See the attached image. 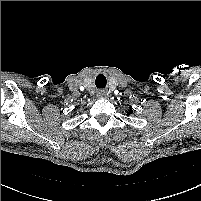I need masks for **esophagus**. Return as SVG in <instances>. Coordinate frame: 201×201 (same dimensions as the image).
Here are the masks:
<instances>
[{"label":"esophagus","instance_id":"obj_1","mask_svg":"<svg viewBox=\"0 0 201 201\" xmlns=\"http://www.w3.org/2000/svg\"><path fill=\"white\" fill-rule=\"evenodd\" d=\"M97 97L98 98H106L107 97V92L105 90H99L97 92Z\"/></svg>","mask_w":201,"mask_h":201}]
</instances>
